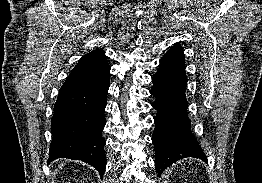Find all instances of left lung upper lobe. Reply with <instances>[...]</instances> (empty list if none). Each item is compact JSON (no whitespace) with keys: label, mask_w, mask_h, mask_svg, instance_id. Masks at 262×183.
I'll list each match as a JSON object with an SVG mask.
<instances>
[{"label":"left lung upper lobe","mask_w":262,"mask_h":183,"mask_svg":"<svg viewBox=\"0 0 262 183\" xmlns=\"http://www.w3.org/2000/svg\"><path fill=\"white\" fill-rule=\"evenodd\" d=\"M173 47H176V48H182L181 46H179L178 44H174Z\"/></svg>","instance_id":"5c2ea615"}]
</instances>
